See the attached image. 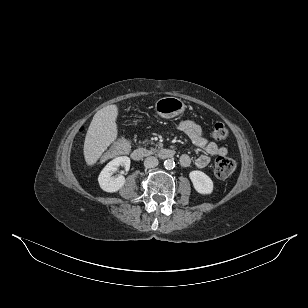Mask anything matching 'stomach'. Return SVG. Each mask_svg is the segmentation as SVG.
Here are the masks:
<instances>
[{
  "label": "stomach",
  "mask_w": 308,
  "mask_h": 308,
  "mask_svg": "<svg viewBox=\"0 0 308 308\" xmlns=\"http://www.w3.org/2000/svg\"><path fill=\"white\" fill-rule=\"evenodd\" d=\"M185 103L176 97L160 98L155 103V111L162 118H173L185 111Z\"/></svg>",
  "instance_id": "1"
}]
</instances>
